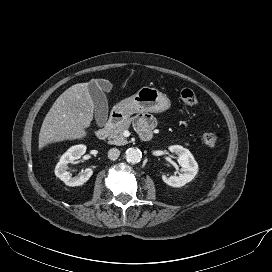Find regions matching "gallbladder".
Returning a JSON list of instances; mask_svg holds the SVG:
<instances>
[{
    "instance_id": "obj_1",
    "label": "gallbladder",
    "mask_w": 272,
    "mask_h": 272,
    "mask_svg": "<svg viewBox=\"0 0 272 272\" xmlns=\"http://www.w3.org/2000/svg\"><path fill=\"white\" fill-rule=\"evenodd\" d=\"M109 87V83L103 80H92L88 83L89 94L95 108V120L100 127L108 119V100L103 89H108Z\"/></svg>"
}]
</instances>
